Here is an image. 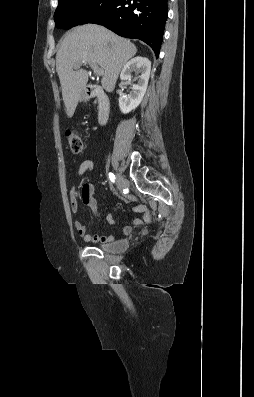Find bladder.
<instances>
[{"label":"bladder","instance_id":"31cf9c89","mask_svg":"<svg viewBox=\"0 0 254 397\" xmlns=\"http://www.w3.org/2000/svg\"><path fill=\"white\" fill-rule=\"evenodd\" d=\"M127 246L125 241H115L106 245L100 246V249L106 252H120Z\"/></svg>","mask_w":254,"mask_h":397}]
</instances>
